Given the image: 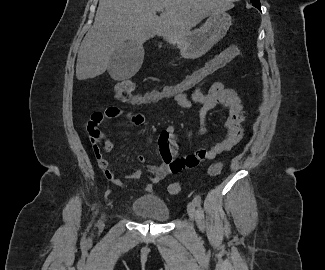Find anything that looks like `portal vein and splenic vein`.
Masks as SVG:
<instances>
[{
  "mask_svg": "<svg viewBox=\"0 0 325 270\" xmlns=\"http://www.w3.org/2000/svg\"><path fill=\"white\" fill-rule=\"evenodd\" d=\"M163 9L162 8H158L157 11H162Z\"/></svg>",
  "mask_w": 325,
  "mask_h": 270,
  "instance_id": "18ae733b",
  "label": "portal vein and splenic vein"
}]
</instances>
